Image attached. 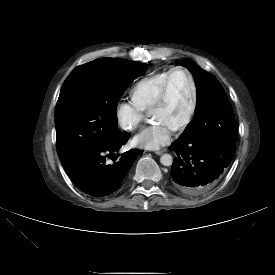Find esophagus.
<instances>
[{"label": "esophagus", "mask_w": 275, "mask_h": 275, "mask_svg": "<svg viewBox=\"0 0 275 275\" xmlns=\"http://www.w3.org/2000/svg\"><path fill=\"white\" fill-rule=\"evenodd\" d=\"M166 151H167V149L159 150V151H156L155 154L156 155H161V154H163Z\"/></svg>", "instance_id": "obj_1"}]
</instances>
